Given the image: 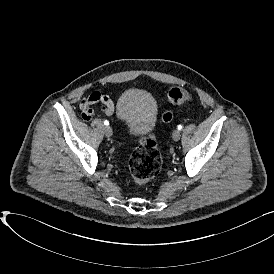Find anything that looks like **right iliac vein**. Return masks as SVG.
Instances as JSON below:
<instances>
[{
  "label": "right iliac vein",
  "mask_w": 274,
  "mask_h": 274,
  "mask_svg": "<svg viewBox=\"0 0 274 274\" xmlns=\"http://www.w3.org/2000/svg\"><path fill=\"white\" fill-rule=\"evenodd\" d=\"M104 133H105V135H106L107 137L112 136V134H113L112 128H111L110 126H106V127L104 128Z\"/></svg>",
  "instance_id": "obj_1"
}]
</instances>
